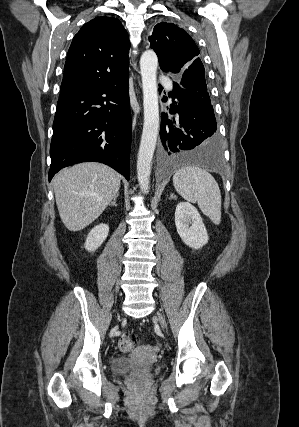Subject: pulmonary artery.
Returning <instances> with one entry per match:
<instances>
[{"label": "pulmonary artery", "mask_w": 299, "mask_h": 427, "mask_svg": "<svg viewBox=\"0 0 299 427\" xmlns=\"http://www.w3.org/2000/svg\"><path fill=\"white\" fill-rule=\"evenodd\" d=\"M164 84H165V86L167 87V89L169 90V91H171L172 90V83L169 81V80H164Z\"/></svg>", "instance_id": "1"}]
</instances>
